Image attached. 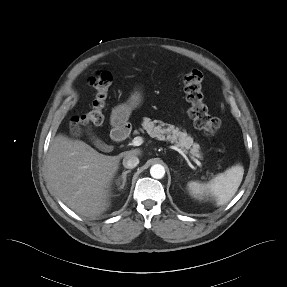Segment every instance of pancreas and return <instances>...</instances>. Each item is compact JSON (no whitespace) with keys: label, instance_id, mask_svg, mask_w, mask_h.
<instances>
[{"label":"pancreas","instance_id":"pancreas-1","mask_svg":"<svg viewBox=\"0 0 287 287\" xmlns=\"http://www.w3.org/2000/svg\"><path fill=\"white\" fill-rule=\"evenodd\" d=\"M142 126L151 137L174 143L184 152H188L192 158H202L200 145L198 143H194L193 138L188 135L185 130L181 131L179 127H175L174 125L167 124L159 120L151 121V119L147 117L143 119Z\"/></svg>","mask_w":287,"mask_h":287}]
</instances>
